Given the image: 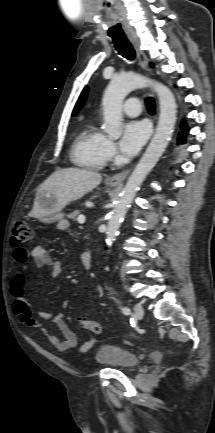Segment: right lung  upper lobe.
I'll return each mask as SVG.
<instances>
[{
    "instance_id": "right-lung-upper-lobe-1",
    "label": "right lung upper lobe",
    "mask_w": 215,
    "mask_h": 433,
    "mask_svg": "<svg viewBox=\"0 0 215 433\" xmlns=\"http://www.w3.org/2000/svg\"><path fill=\"white\" fill-rule=\"evenodd\" d=\"M87 91H88V89H87V87L83 90V92L81 93V95H80V97H79V99H78V101H77V103H76V105H75V108H74V111H73V115H76L77 114V112L82 108V106L84 105V103H85V100H86V96H87Z\"/></svg>"
}]
</instances>
